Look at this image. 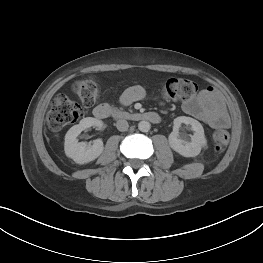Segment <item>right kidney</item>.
Masks as SVG:
<instances>
[{
  "mask_svg": "<svg viewBox=\"0 0 263 263\" xmlns=\"http://www.w3.org/2000/svg\"><path fill=\"white\" fill-rule=\"evenodd\" d=\"M103 126V122L96 118L87 117L80 121L79 124L71 127L65 135L64 150L67 157L73 159L78 164H85L95 160L103 152L104 146L100 139L88 146L85 142H78V135L90 127Z\"/></svg>",
  "mask_w": 263,
  "mask_h": 263,
  "instance_id": "right-kidney-1",
  "label": "right kidney"
}]
</instances>
